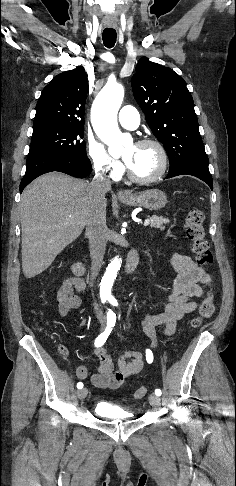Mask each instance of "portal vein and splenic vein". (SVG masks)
<instances>
[{
    "mask_svg": "<svg viewBox=\"0 0 236 486\" xmlns=\"http://www.w3.org/2000/svg\"><path fill=\"white\" fill-rule=\"evenodd\" d=\"M149 223H150V220H149V219H146V220L144 221V226H145V227H146V226H148V225H149Z\"/></svg>",
    "mask_w": 236,
    "mask_h": 486,
    "instance_id": "obj_1",
    "label": "portal vein and splenic vein"
}]
</instances>
